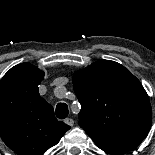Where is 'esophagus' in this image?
I'll return each mask as SVG.
<instances>
[{"mask_svg":"<svg viewBox=\"0 0 155 155\" xmlns=\"http://www.w3.org/2000/svg\"><path fill=\"white\" fill-rule=\"evenodd\" d=\"M65 123L72 127L74 125V120L71 118H67L65 119Z\"/></svg>","mask_w":155,"mask_h":155,"instance_id":"esophagus-1","label":"esophagus"}]
</instances>
